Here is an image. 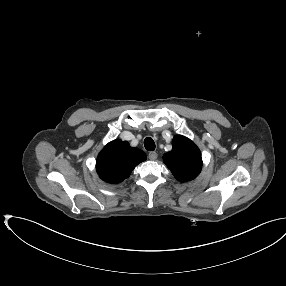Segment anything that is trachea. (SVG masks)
I'll use <instances>...</instances> for the list:
<instances>
[{"label":"trachea","mask_w":286,"mask_h":286,"mask_svg":"<svg viewBox=\"0 0 286 286\" xmlns=\"http://www.w3.org/2000/svg\"><path fill=\"white\" fill-rule=\"evenodd\" d=\"M144 146H145L146 150H148V151H154L155 150V142L150 137L145 138Z\"/></svg>","instance_id":"3493384b"}]
</instances>
